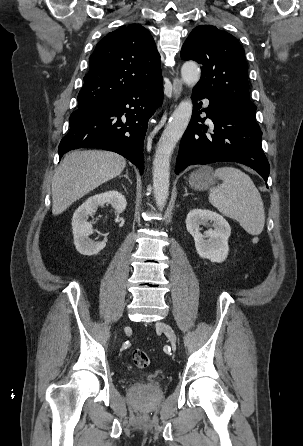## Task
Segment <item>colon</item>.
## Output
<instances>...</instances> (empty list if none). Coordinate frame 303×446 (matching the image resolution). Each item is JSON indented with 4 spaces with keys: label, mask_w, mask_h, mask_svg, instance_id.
I'll return each mask as SVG.
<instances>
[{
    "label": "colon",
    "mask_w": 303,
    "mask_h": 446,
    "mask_svg": "<svg viewBox=\"0 0 303 446\" xmlns=\"http://www.w3.org/2000/svg\"><path fill=\"white\" fill-rule=\"evenodd\" d=\"M132 360L134 365L140 369H144L150 364L149 355L145 351L139 349L135 350L132 353Z\"/></svg>",
    "instance_id": "5ec220e1"
}]
</instances>
